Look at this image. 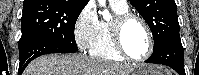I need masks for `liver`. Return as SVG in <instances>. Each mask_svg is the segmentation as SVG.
Segmentation results:
<instances>
[{"label": "liver", "mask_w": 199, "mask_h": 75, "mask_svg": "<svg viewBox=\"0 0 199 75\" xmlns=\"http://www.w3.org/2000/svg\"><path fill=\"white\" fill-rule=\"evenodd\" d=\"M132 70V66L106 62L83 54H50L33 60L23 75H129Z\"/></svg>", "instance_id": "obj_1"}]
</instances>
